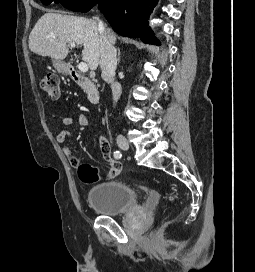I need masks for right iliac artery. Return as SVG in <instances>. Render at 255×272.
Listing matches in <instances>:
<instances>
[{
    "label": "right iliac artery",
    "instance_id": "right-iliac-artery-1",
    "mask_svg": "<svg viewBox=\"0 0 255 272\" xmlns=\"http://www.w3.org/2000/svg\"><path fill=\"white\" fill-rule=\"evenodd\" d=\"M121 156H122V154L120 153V151H115V152H114V157H115L116 159H120Z\"/></svg>",
    "mask_w": 255,
    "mask_h": 272
}]
</instances>
